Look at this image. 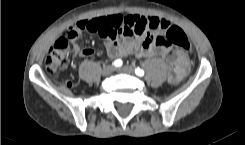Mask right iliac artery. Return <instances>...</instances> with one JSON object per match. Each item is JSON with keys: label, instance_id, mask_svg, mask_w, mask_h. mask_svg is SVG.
<instances>
[{"label": "right iliac artery", "instance_id": "82829eb1", "mask_svg": "<svg viewBox=\"0 0 245 145\" xmlns=\"http://www.w3.org/2000/svg\"><path fill=\"white\" fill-rule=\"evenodd\" d=\"M113 64H114V66H116V67H120V66L122 65V60H120V59L115 60Z\"/></svg>", "mask_w": 245, "mask_h": 145}]
</instances>
